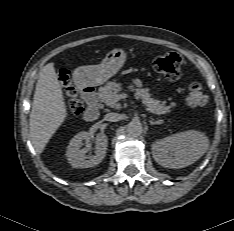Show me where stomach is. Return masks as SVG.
<instances>
[{"label":"stomach","mask_w":234,"mask_h":231,"mask_svg":"<svg viewBox=\"0 0 234 231\" xmlns=\"http://www.w3.org/2000/svg\"><path fill=\"white\" fill-rule=\"evenodd\" d=\"M126 61V53L123 49L109 51L99 65H87L78 67L74 71V80L78 85L97 86L106 82L122 68Z\"/></svg>","instance_id":"0dacf381"}]
</instances>
